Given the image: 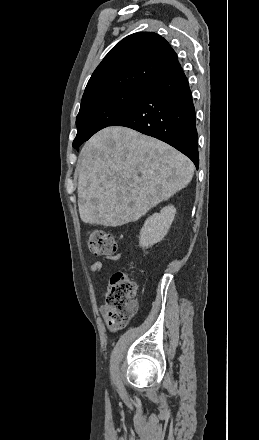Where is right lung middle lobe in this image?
Listing matches in <instances>:
<instances>
[{
  "label": "right lung middle lobe",
  "instance_id": "obj_1",
  "mask_svg": "<svg viewBox=\"0 0 259 440\" xmlns=\"http://www.w3.org/2000/svg\"><path fill=\"white\" fill-rule=\"evenodd\" d=\"M148 88H124L109 92L81 104L77 115V135L73 147L87 141L97 131L110 126L128 113L143 97Z\"/></svg>",
  "mask_w": 259,
  "mask_h": 440
}]
</instances>
